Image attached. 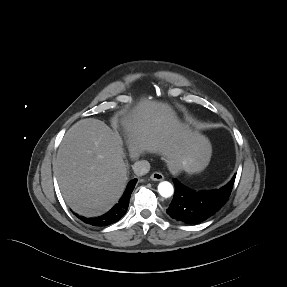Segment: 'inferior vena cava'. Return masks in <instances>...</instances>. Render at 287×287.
Instances as JSON below:
<instances>
[{"label":"inferior vena cava","instance_id":"inferior-vena-cava-1","mask_svg":"<svg viewBox=\"0 0 287 287\" xmlns=\"http://www.w3.org/2000/svg\"><path fill=\"white\" fill-rule=\"evenodd\" d=\"M132 168L137 176H143L150 171V163L147 160L136 161Z\"/></svg>","mask_w":287,"mask_h":287}]
</instances>
